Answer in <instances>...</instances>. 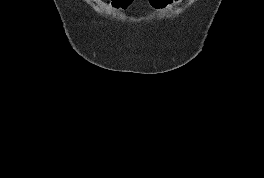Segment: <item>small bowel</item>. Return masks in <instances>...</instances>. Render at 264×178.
Here are the masks:
<instances>
[{
	"label": "small bowel",
	"mask_w": 264,
	"mask_h": 178,
	"mask_svg": "<svg viewBox=\"0 0 264 178\" xmlns=\"http://www.w3.org/2000/svg\"><path fill=\"white\" fill-rule=\"evenodd\" d=\"M133 1H134V0H133ZM133 1L131 2V4L133 3ZM181 1H182V0H171L170 5H171V4H178V3H180ZM131 4H130V5H131ZM130 5H129V6H130Z\"/></svg>",
	"instance_id": "c3829d8e"
}]
</instances>
